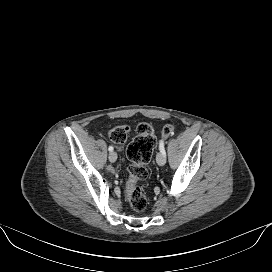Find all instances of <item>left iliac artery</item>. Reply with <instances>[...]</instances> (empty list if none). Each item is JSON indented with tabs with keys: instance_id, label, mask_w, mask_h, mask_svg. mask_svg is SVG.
I'll return each mask as SVG.
<instances>
[{
	"instance_id": "obj_1",
	"label": "left iliac artery",
	"mask_w": 272,
	"mask_h": 272,
	"mask_svg": "<svg viewBox=\"0 0 272 272\" xmlns=\"http://www.w3.org/2000/svg\"><path fill=\"white\" fill-rule=\"evenodd\" d=\"M159 149H160V152H162L163 154L166 155L165 148H164V141L163 140H161L160 143H159Z\"/></svg>"
}]
</instances>
